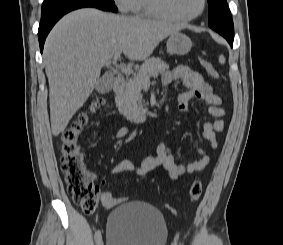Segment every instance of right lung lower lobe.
Here are the masks:
<instances>
[{
  "label": "right lung lower lobe",
  "instance_id": "right-lung-lower-lobe-1",
  "mask_svg": "<svg viewBox=\"0 0 283 245\" xmlns=\"http://www.w3.org/2000/svg\"><path fill=\"white\" fill-rule=\"evenodd\" d=\"M84 7H94L105 11H112L117 12L118 9L116 8L115 4L112 3H105V2H83V3H75L68 5L63 8H59L48 12L46 14L41 15V21L38 30V37H39V44L41 52L43 51L45 39L52 29L54 24L66 13Z\"/></svg>",
  "mask_w": 283,
  "mask_h": 245
}]
</instances>
